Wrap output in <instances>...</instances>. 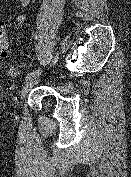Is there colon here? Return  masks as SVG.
I'll return each mask as SVG.
<instances>
[{
	"instance_id": "colon-1",
	"label": "colon",
	"mask_w": 131,
	"mask_h": 177,
	"mask_svg": "<svg viewBox=\"0 0 131 177\" xmlns=\"http://www.w3.org/2000/svg\"><path fill=\"white\" fill-rule=\"evenodd\" d=\"M11 44L10 34L4 22H0V57L5 58Z\"/></svg>"
}]
</instances>
